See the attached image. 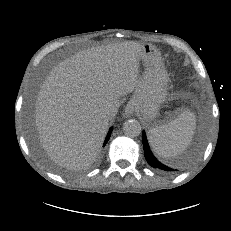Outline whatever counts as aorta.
I'll return each mask as SVG.
<instances>
[{"mask_svg":"<svg viewBox=\"0 0 231 231\" xmlns=\"http://www.w3.org/2000/svg\"><path fill=\"white\" fill-rule=\"evenodd\" d=\"M123 132L128 137H137L141 133V125L137 120H127L123 124Z\"/></svg>","mask_w":231,"mask_h":231,"instance_id":"762f6f07","label":"aorta"}]
</instances>
